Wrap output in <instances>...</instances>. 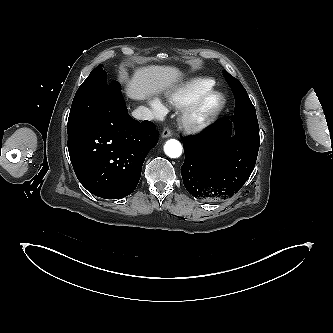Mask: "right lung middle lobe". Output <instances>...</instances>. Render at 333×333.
<instances>
[{
	"mask_svg": "<svg viewBox=\"0 0 333 333\" xmlns=\"http://www.w3.org/2000/svg\"><path fill=\"white\" fill-rule=\"evenodd\" d=\"M102 67V64L98 65L77 90L68 118V131L90 118L100 101L112 89L114 83L107 81V74Z\"/></svg>",
	"mask_w": 333,
	"mask_h": 333,
	"instance_id": "1",
	"label": "right lung middle lobe"
}]
</instances>
